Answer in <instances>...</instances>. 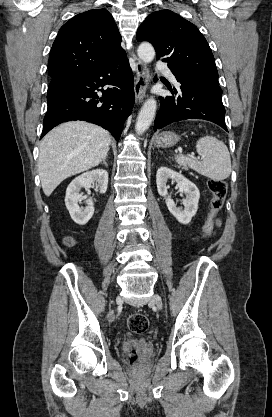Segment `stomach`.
Returning a JSON list of instances; mask_svg holds the SVG:
<instances>
[{
	"mask_svg": "<svg viewBox=\"0 0 272 417\" xmlns=\"http://www.w3.org/2000/svg\"><path fill=\"white\" fill-rule=\"evenodd\" d=\"M179 139L180 137L177 134L170 131H165L156 137L155 145L162 148L171 147L174 146L179 141Z\"/></svg>",
	"mask_w": 272,
	"mask_h": 417,
	"instance_id": "stomach-1",
	"label": "stomach"
}]
</instances>
